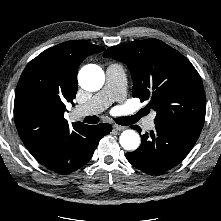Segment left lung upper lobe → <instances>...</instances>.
I'll use <instances>...</instances> for the list:
<instances>
[{
  "label": "left lung upper lobe",
  "mask_w": 221,
  "mask_h": 221,
  "mask_svg": "<svg viewBox=\"0 0 221 221\" xmlns=\"http://www.w3.org/2000/svg\"><path fill=\"white\" fill-rule=\"evenodd\" d=\"M125 63L132 75L133 97L150 100L155 125L200 135L206 100L200 75L190 61L158 39L109 47L103 54Z\"/></svg>",
  "instance_id": "1"
}]
</instances>
